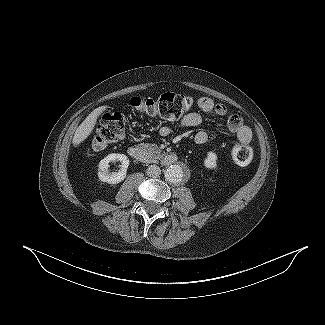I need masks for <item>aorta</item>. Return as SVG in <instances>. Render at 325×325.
Returning <instances> with one entry per match:
<instances>
[{
  "label": "aorta",
  "instance_id": "762f6f07",
  "mask_svg": "<svg viewBox=\"0 0 325 325\" xmlns=\"http://www.w3.org/2000/svg\"><path fill=\"white\" fill-rule=\"evenodd\" d=\"M165 178L171 183H179L184 178V170L180 165H170L165 171Z\"/></svg>",
  "mask_w": 325,
  "mask_h": 325
}]
</instances>
